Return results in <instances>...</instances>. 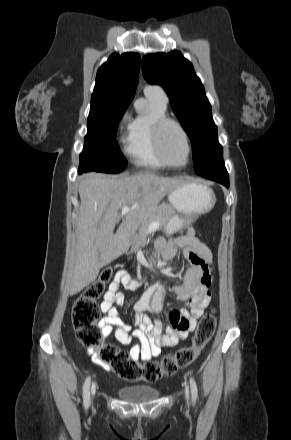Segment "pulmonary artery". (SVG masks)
I'll return each mask as SVG.
<instances>
[{
  "label": "pulmonary artery",
  "mask_w": 291,
  "mask_h": 440,
  "mask_svg": "<svg viewBox=\"0 0 291 440\" xmlns=\"http://www.w3.org/2000/svg\"><path fill=\"white\" fill-rule=\"evenodd\" d=\"M145 94L153 96L160 100L162 103H167L168 96L164 89L161 86L158 85H148L145 87Z\"/></svg>",
  "instance_id": "e3ab8cb5"
}]
</instances>
